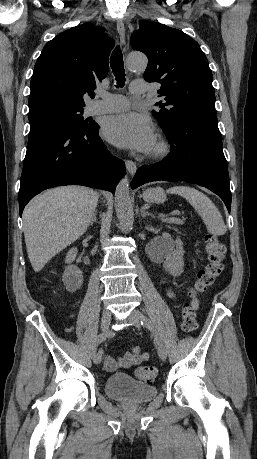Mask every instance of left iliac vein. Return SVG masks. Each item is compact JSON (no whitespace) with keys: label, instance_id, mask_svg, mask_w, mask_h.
<instances>
[{"label":"left iliac vein","instance_id":"1","mask_svg":"<svg viewBox=\"0 0 257 459\" xmlns=\"http://www.w3.org/2000/svg\"><path fill=\"white\" fill-rule=\"evenodd\" d=\"M143 317V314L139 310H133L130 316L127 318V321L133 323L137 328H140V322ZM157 349L160 359L165 361L167 358V352L161 342L158 344Z\"/></svg>","mask_w":257,"mask_h":459}]
</instances>
